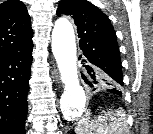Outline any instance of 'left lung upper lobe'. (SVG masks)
<instances>
[{
  "mask_svg": "<svg viewBox=\"0 0 153 134\" xmlns=\"http://www.w3.org/2000/svg\"><path fill=\"white\" fill-rule=\"evenodd\" d=\"M56 14L70 15L74 19L86 61L107 74L103 84L120 90L124 84L120 51L109 18L87 0H62Z\"/></svg>",
  "mask_w": 153,
  "mask_h": 134,
  "instance_id": "1",
  "label": "left lung upper lobe"
}]
</instances>
